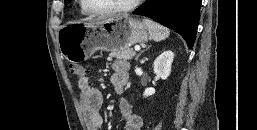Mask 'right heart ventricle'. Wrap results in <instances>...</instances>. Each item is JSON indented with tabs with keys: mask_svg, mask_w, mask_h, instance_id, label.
Here are the masks:
<instances>
[{
	"mask_svg": "<svg viewBox=\"0 0 257 130\" xmlns=\"http://www.w3.org/2000/svg\"><path fill=\"white\" fill-rule=\"evenodd\" d=\"M80 10H81V13H82V14H84V15H87V14H88V13L85 11V9L83 8L81 1H80Z\"/></svg>",
	"mask_w": 257,
	"mask_h": 130,
	"instance_id": "e07e8e85",
	"label": "right heart ventricle"
}]
</instances>
